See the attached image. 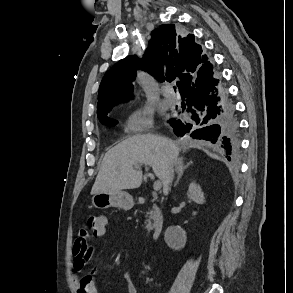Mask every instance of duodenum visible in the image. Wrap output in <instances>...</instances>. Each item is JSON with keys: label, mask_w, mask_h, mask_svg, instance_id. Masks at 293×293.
<instances>
[{"label": "duodenum", "mask_w": 293, "mask_h": 293, "mask_svg": "<svg viewBox=\"0 0 293 293\" xmlns=\"http://www.w3.org/2000/svg\"><path fill=\"white\" fill-rule=\"evenodd\" d=\"M141 201H145L144 198ZM165 219L159 208L155 209L153 214V226H152V237L153 239H157L162 232L164 227Z\"/></svg>", "instance_id": "duodenum-1"}]
</instances>
